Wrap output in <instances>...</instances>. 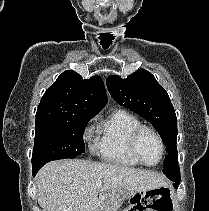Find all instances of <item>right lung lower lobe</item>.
<instances>
[{
	"mask_svg": "<svg viewBox=\"0 0 209 211\" xmlns=\"http://www.w3.org/2000/svg\"><path fill=\"white\" fill-rule=\"evenodd\" d=\"M41 168V167H40ZM39 167L33 168V176L37 173V171L40 169Z\"/></svg>",
	"mask_w": 209,
	"mask_h": 211,
	"instance_id": "98d812e1",
	"label": "right lung lower lobe"
}]
</instances>
